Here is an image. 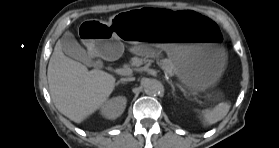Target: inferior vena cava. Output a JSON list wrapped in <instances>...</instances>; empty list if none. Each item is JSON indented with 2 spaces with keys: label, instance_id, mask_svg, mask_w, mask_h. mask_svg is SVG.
<instances>
[{
  "label": "inferior vena cava",
  "instance_id": "inferior-vena-cava-1",
  "mask_svg": "<svg viewBox=\"0 0 279 148\" xmlns=\"http://www.w3.org/2000/svg\"><path fill=\"white\" fill-rule=\"evenodd\" d=\"M121 80H122V81H124V82H125V81L127 82V81H133V80H134V78H133V77H129V78H121Z\"/></svg>",
  "mask_w": 279,
  "mask_h": 148
}]
</instances>
